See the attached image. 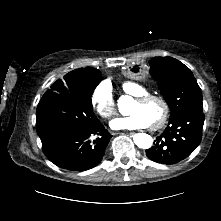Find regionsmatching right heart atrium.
Masks as SVG:
<instances>
[{"mask_svg": "<svg viewBox=\"0 0 221 221\" xmlns=\"http://www.w3.org/2000/svg\"><path fill=\"white\" fill-rule=\"evenodd\" d=\"M91 103L99 116L110 119L117 113L112 87L107 82H101L91 95Z\"/></svg>", "mask_w": 221, "mask_h": 221, "instance_id": "right-heart-atrium-1", "label": "right heart atrium"}]
</instances>
